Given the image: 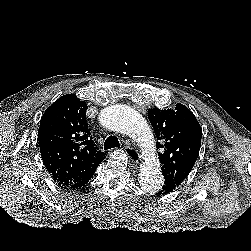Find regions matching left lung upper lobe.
<instances>
[{"instance_id": "left-lung-upper-lobe-1", "label": "left lung upper lobe", "mask_w": 251, "mask_h": 251, "mask_svg": "<svg viewBox=\"0 0 251 251\" xmlns=\"http://www.w3.org/2000/svg\"><path fill=\"white\" fill-rule=\"evenodd\" d=\"M157 137L164 184L178 187L192 170L198 157L202 130L194 114L184 105L174 109L148 111Z\"/></svg>"}]
</instances>
